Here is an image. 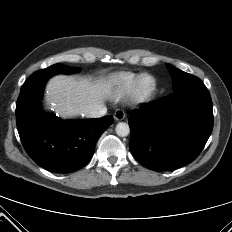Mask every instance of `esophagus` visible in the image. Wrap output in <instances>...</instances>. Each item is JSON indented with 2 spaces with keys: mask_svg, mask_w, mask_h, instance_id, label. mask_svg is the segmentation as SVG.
<instances>
[{
  "mask_svg": "<svg viewBox=\"0 0 232 232\" xmlns=\"http://www.w3.org/2000/svg\"><path fill=\"white\" fill-rule=\"evenodd\" d=\"M126 114L123 110L117 109L114 113V119L117 121H121L125 118Z\"/></svg>",
  "mask_w": 232,
  "mask_h": 232,
  "instance_id": "esophagus-1",
  "label": "esophagus"
}]
</instances>
